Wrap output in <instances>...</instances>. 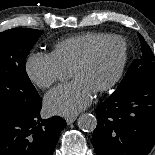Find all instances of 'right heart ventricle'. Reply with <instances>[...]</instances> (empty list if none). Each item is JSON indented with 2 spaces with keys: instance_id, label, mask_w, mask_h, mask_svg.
<instances>
[{
  "instance_id": "right-heart-ventricle-1",
  "label": "right heart ventricle",
  "mask_w": 155,
  "mask_h": 155,
  "mask_svg": "<svg viewBox=\"0 0 155 155\" xmlns=\"http://www.w3.org/2000/svg\"><path fill=\"white\" fill-rule=\"evenodd\" d=\"M107 33L86 31L57 41L52 48L51 55L63 69H70L90 46Z\"/></svg>"
}]
</instances>
